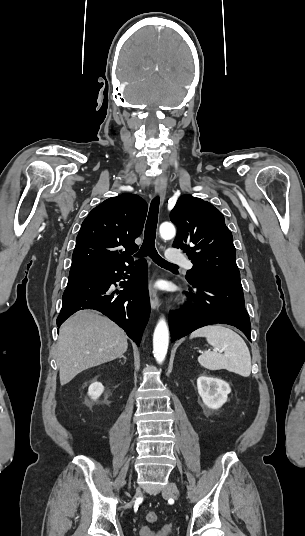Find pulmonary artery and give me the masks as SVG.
I'll return each mask as SVG.
<instances>
[{"instance_id": "e3ab8cb5", "label": "pulmonary artery", "mask_w": 305, "mask_h": 536, "mask_svg": "<svg viewBox=\"0 0 305 536\" xmlns=\"http://www.w3.org/2000/svg\"><path fill=\"white\" fill-rule=\"evenodd\" d=\"M163 257L164 259L168 260L170 263H173V264L183 263L189 269L193 267V263L189 260H185L184 255L177 254V249L173 245L168 246L167 251L164 252L163 254Z\"/></svg>"}]
</instances>
